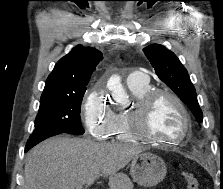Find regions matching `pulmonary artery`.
I'll return each instance as SVG.
<instances>
[{
    "instance_id": "pulmonary-artery-1",
    "label": "pulmonary artery",
    "mask_w": 223,
    "mask_h": 189,
    "mask_svg": "<svg viewBox=\"0 0 223 189\" xmlns=\"http://www.w3.org/2000/svg\"><path fill=\"white\" fill-rule=\"evenodd\" d=\"M148 82L149 79L147 74L140 70L130 73L126 81L129 87L143 86L146 85Z\"/></svg>"
}]
</instances>
